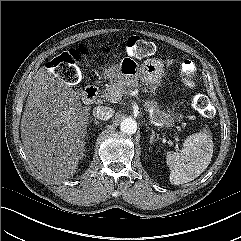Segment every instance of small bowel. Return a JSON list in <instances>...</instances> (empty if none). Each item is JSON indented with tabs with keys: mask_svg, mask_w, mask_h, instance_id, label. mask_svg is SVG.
Returning a JSON list of instances; mask_svg holds the SVG:
<instances>
[{
	"mask_svg": "<svg viewBox=\"0 0 241 241\" xmlns=\"http://www.w3.org/2000/svg\"><path fill=\"white\" fill-rule=\"evenodd\" d=\"M87 46L83 45V48H86Z\"/></svg>",
	"mask_w": 241,
	"mask_h": 241,
	"instance_id": "obj_1",
	"label": "small bowel"
}]
</instances>
